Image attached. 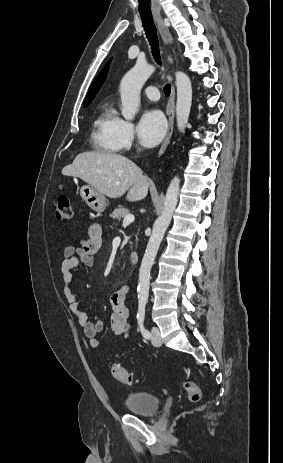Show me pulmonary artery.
I'll return each mask as SVG.
<instances>
[{
	"label": "pulmonary artery",
	"instance_id": "obj_1",
	"mask_svg": "<svg viewBox=\"0 0 283 463\" xmlns=\"http://www.w3.org/2000/svg\"><path fill=\"white\" fill-rule=\"evenodd\" d=\"M144 95L150 100H158L160 98V93L155 86H148L143 89Z\"/></svg>",
	"mask_w": 283,
	"mask_h": 463
}]
</instances>
